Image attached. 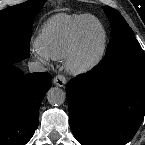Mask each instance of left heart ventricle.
<instances>
[{
	"label": "left heart ventricle",
	"instance_id": "left-heart-ventricle-1",
	"mask_svg": "<svg viewBox=\"0 0 145 145\" xmlns=\"http://www.w3.org/2000/svg\"><path fill=\"white\" fill-rule=\"evenodd\" d=\"M100 38L101 33L99 27L94 22H90L85 34L87 52H91L95 49Z\"/></svg>",
	"mask_w": 145,
	"mask_h": 145
}]
</instances>
